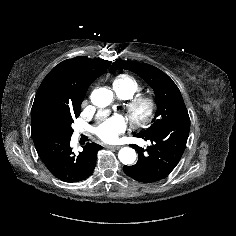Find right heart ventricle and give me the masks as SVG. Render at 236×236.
<instances>
[{"instance_id": "obj_1", "label": "right heart ventricle", "mask_w": 236, "mask_h": 236, "mask_svg": "<svg viewBox=\"0 0 236 236\" xmlns=\"http://www.w3.org/2000/svg\"><path fill=\"white\" fill-rule=\"evenodd\" d=\"M113 89L121 98H130L140 90V85L135 78L130 75H119L113 82Z\"/></svg>"}]
</instances>
